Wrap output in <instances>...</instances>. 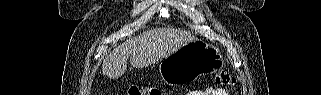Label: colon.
<instances>
[{
  "label": "colon",
  "mask_w": 321,
  "mask_h": 95,
  "mask_svg": "<svg viewBox=\"0 0 321 95\" xmlns=\"http://www.w3.org/2000/svg\"><path fill=\"white\" fill-rule=\"evenodd\" d=\"M215 82L223 86H233L236 83L235 77L226 70H221L215 76ZM129 95H161V92L156 87H147L140 89L137 86L130 87Z\"/></svg>",
  "instance_id": "obj_1"
}]
</instances>
